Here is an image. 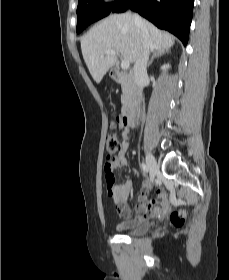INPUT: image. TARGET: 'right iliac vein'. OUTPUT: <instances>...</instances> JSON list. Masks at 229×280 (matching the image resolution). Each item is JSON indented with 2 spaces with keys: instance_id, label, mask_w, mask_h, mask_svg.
<instances>
[{
  "instance_id": "1",
  "label": "right iliac vein",
  "mask_w": 229,
  "mask_h": 280,
  "mask_svg": "<svg viewBox=\"0 0 229 280\" xmlns=\"http://www.w3.org/2000/svg\"><path fill=\"white\" fill-rule=\"evenodd\" d=\"M147 166L150 171L151 181L153 182L157 172L159 171V167L157 165L155 158L150 153L147 154Z\"/></svg>"
}]
</instances>
